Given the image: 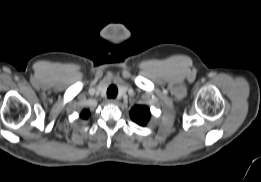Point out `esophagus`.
<instances>
[{
    "mask_svg": "<svg viewBox=\"0 0 261 182\" xmlns=\"http://www.w3.org/2000/svg\"><path fill=\"white\" fill-rule=\"evenodd\" d=\"M108 103H110V104H116V103H117V100H116V99H109V100H108Z\"/></svg>",
    "mask_w": 261,
    "mask_h": 182,
    "instance_id": "1",
    "label": "esophagus"
}]
</instances>
